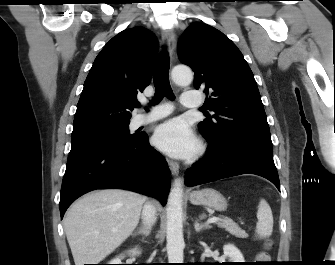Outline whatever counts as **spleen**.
<instances>
[{
	"mask_svg": "<svg viewBox=\"0 0 335 265\" xmlns=\"http://www.w3.org/2000/svg\"><path fill=\"white\" fill-rule=\"evenodd\" d=\"M258 222L256 224V234L259 238H266L272 234L273 231V215L269 204L266 200L261 199L258 211Z\"/></svg>",
	"mask_w": 335,
	"mask_h": 265,
	"instance_id": "3e777b00",
	"label": "spleen"
}]
</instances>
